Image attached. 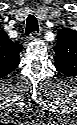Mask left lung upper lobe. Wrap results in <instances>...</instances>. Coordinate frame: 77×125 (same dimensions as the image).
I'll list each match as a JSON object with an SVG mask.
<instances>
[{
  "label": "left lung upper lobe",
  "instance_id": "left-lung-upper-lobe-1",
  "mask_svg": "<svg viewBox=\"0 0 77 125\" xmlns=\"http://www.w3.org/2000/svg\"><path fill=\"white\" fill-rule=\"evenodd\" d=\"M55 51V67L66 65L77 68V32L63 28L57 34Z\"/></svg>",
  "mask_w": 77,
  "mask_h": 125
}]
</instances>
